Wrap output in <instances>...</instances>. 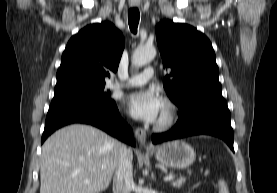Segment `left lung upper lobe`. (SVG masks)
I'll return each instance as SVG.
<instances>
[{"label":"left lung upper lobe","instance_id":"5c2ea615","mask_svg":"<svg viewBox=\"0 0 277 193\" xmlns=\"http://www.w3.org/2000/svg\"><path fill=\"white\" fill-rule=\"evenodd\" d=\"M155 31L163 66L171 69L164 88L180 113L201 97L221 94L215 52L204 34L170 20L161 21Z\"/></svg>","mask_w":277,"mask_h":193}]
</instances>
